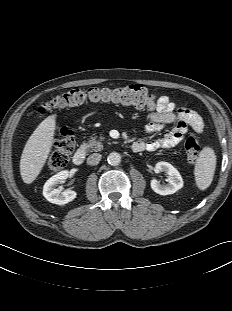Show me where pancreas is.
<instances>
[{"label":"pancreas","mask_w":232,"mask_h":311,"mask_svg":"<svg viewBox=\"0 0 232 311\" xmlns=\"http://www.w3.org/2000/svg\"><path fill=\"white\" fill-rule=\"evenodd\" d=\"M102 140H104V137H101L100 140L96 137H91L87 143H83V147L89 151H101L103 149Z\"/></svg>","instance_id":"pancreas-1"}]
</instances>
